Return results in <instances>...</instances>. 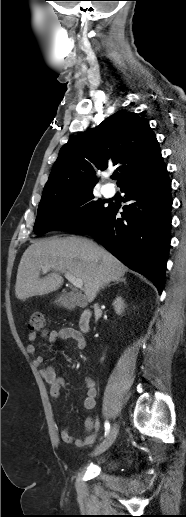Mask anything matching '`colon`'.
Segmentation results:
<instances>
[{
	"instance_id": "obj_1",
	"label": "colon",
	"mask_w": 186,
	"mask_h": 517,
	"mask_svg": "<svg viewBox=\"0 0 186 517\" xmlns=\"http://www.w3.org/2000/svg\"><path fill=\"white\" fill-rule=\"evenodd\" d=\"M29 329L33 333L45 335L47 333L44 315L41 312H34L30 316Z\"/></svg>"
}]
</instances>
